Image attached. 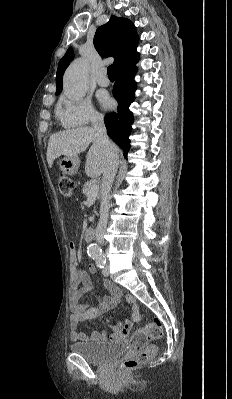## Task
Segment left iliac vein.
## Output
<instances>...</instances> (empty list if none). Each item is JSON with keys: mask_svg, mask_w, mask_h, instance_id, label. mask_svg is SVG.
Instances as JSON below:
<instances>
[{"mask_svg": "<svg viewBox=\"0 0 232 399\" xmlns=\"http://www.w3.org/2000/svg\"><path fill=\"white\" fill-rule=\"evenodd\" d=\"M102 272H103V277H110L108 266H105V268L102 269Z\"/></svg>", "mask_w": 232, "mask_h": 399, "instance_id": "obj_1", "label": "left iliac vein"}]
</instances>
